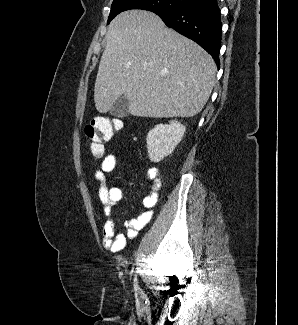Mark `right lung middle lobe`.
<instances>
[{"instance_id":"obj_1","label":"right lung middle lobe","mask_w":298,"mask_h":325,"mask_svg":"<svg viewBox=\"0 0 298 325\" xmlns=\"http://www.w3.org/2000/svg\"><path fill=\"white\" fill-rule=\"evenodd\" d=\"M192 0H114L111 6L108 24L119 13L129 9H143L152 12L172 11L184 7Z\"/></svg>"}]
</instances>
